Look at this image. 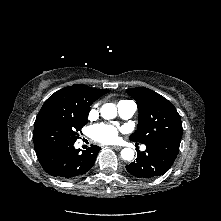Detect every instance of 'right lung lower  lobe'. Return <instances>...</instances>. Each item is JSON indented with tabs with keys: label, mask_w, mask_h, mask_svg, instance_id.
Segmentation results:
<instances>
[{
	"label": "right lung lower lobe",
	"mask_w": 221,
	"mask_h": 221,
	"mask_svg": "<svg viewBox=\"0 0 221 221\" xmlns=\"http://www.w3.org/2000/svg\"><path fill=\"white\" fill-rule=\"evenodd\" d=\"M100 147L91 145L80 152L70 145L56 146L37 154L43 169L51 176L60 179H75L87 173L94 165Z\"/></svg>",
	"instance_id": "98d812e1"
}]
</instances>
